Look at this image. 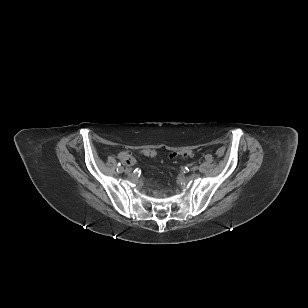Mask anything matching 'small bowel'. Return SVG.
Segmentation results:
<instances>
[{"instance_id":"small-bowel-1","label":"small bowel","mask_w":308,"mask_h":308,"mask_svg":"<svg viewBox=\"0 0 308 308\" xmlns=\"http://www.w3.org/2000/svg\"><path fill=\"white\" fill-rule=\"evenodd\" d=\"M224 148H220V149H218V151H217V154L219 155V156H221V155H223L224 154Z\"/></svg>"}]
</instances>
